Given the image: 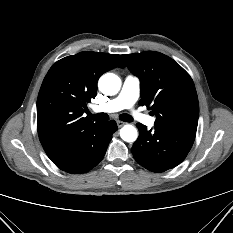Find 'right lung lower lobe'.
<instances>
[{"mask_svg":"<svg viewBox=\"0 0 233 233\" xmlns=\"http://www.w3.org/2000/svg\"><path fill=\"white\" fill-rule=\"evenodd\" d=\"M117 130L115 121L100 123L93 136V146L90 148L89 154L80 161L59 163L52 161L61 170L71 173L79 174L85 173L99 164L103 159L108 144L112 138V134Z\"/></svg>","mask_w":233,"mask_h":233,"instance_id":"1","label":"right lung lower lobe"}]
</instances>
